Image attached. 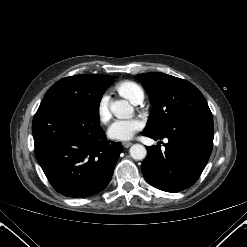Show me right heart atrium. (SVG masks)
<instances>
[{
  "label": "right heart atrium",
  "instance_id": "obj_1",
  "mask_svg": "<svg viewBox=\"0 0 247 247\" xmlns=\"http://www.w3.org/2000/svg\"><path fill=\"white\" fill-rule=\"evenodd\" d=\"M97 114L101 123L107 124L110 121L111 112L109 108V96L107 94H104L100 98L97 106Z\"/></svg>",
  "mask_w": 247,
  "mask_h": 247
}]
</instances>
